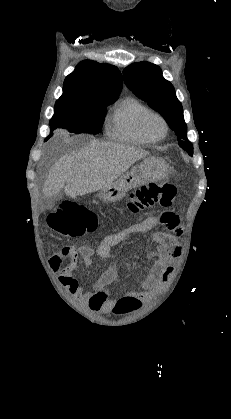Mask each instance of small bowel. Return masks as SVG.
I'll use <instances>...</instances> for the list:
<instances>
[{
    "instance_id": "1",
    "label": "small bowel",
    "mask_w": 231,
    "mask_h": 419,
    "mask_svg": "<svg viewBox=\"0 0 231 419\" xmlns=\"http://www.w3.org/2000/svg\"><path fill=\"white\" fill-rule=\"evenodd\" d=\"M180 222L178 213L167 211L159 216L147 217L118 233L106 236L102 240L96 252L100 258L106 260L109 258L112 248L129 235L150 231L158 224L163 225L164 232H157L153 235V240L158 244V256L154 265L147 277L140 283L139 289L126 291L125 295L134 296L140 301L148 300L156 291L167 284L174 271L173 262L181 255L180 238L182 231ZM165 232H173L174 234ZM93 255L94 250L86 245L65 247L61 252V258L63 261L68 259V263L63 265V261L60 262L52 257L50 266L58 271V281L70 295L86 303L92 311L106 313L111 311L117 302L116 299L109 296L106 290L116 279V267L109 265L88 292L83 290L73 275L78 261L81 260L85 266H90L93 263Z\"/></svg>"
}]
</instances>
